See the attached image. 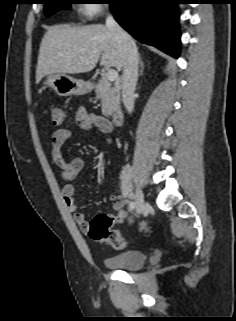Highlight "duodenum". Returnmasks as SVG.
Instances as JSON below:
<instances>
[{
	"mask_svg": "<svg viewBox=\"0 0 236 321\" xmlns=\"http://www.w3.org/2000/svg\"><path fill=\"white\" fill-rule=\"evenodd\" d=\"M110 119L115 126H121L124 120V113L121 110H116L111 113Z\"/></svg>",
	"mask_w": 236,
	"mask_h": 321,
	"instance_id": "duodenum-1",
	"label": "duodenum"
}]
</instances>
